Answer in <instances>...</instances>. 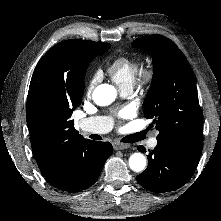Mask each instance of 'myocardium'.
Returning <instances> with one entry per match:
<instances>
[{
  "label": "myocardium",
  "mask_w": 221,
  "mask_h": 221,
  "mask_svg": "<svg viewBox=\"0 0 221 221\" xmlns=\"http://www.w3.org/2000/svg\"><path fill=\"white\" fill-rule=\"evenodd\" d=\"M156 74L154 64L149 63L139 70L134 85L141 89H149L156 80Z\"/></svg>",
  "instance_id": "1"
}]
</instances>
